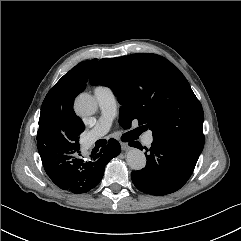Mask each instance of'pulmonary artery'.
Returning a JSON list of instances; mask_svg holds the SVG:
<instances>
[{"mask_svg":"<svg viewBox=\"0 0 241 241\" xmlns=\"http://www.w3.org/2000/svg\"><path fill=\"white\" fill-rule=\"evenodd\" d=\"M94 95L99 105L101 116L95 127L88 132L84 144L87 148L93 145L98 139L103 137L110 128L111 121L116 113V99L113 91L106 86H98L94 89ZM144 143L151 145L153 142V133L148 131L144 135Z\"/></svg>","mask_w":241,"mask_h":241,"instance_id":"pulmonary-artery-1","label":"pulmonary artery"}]
</instances>
